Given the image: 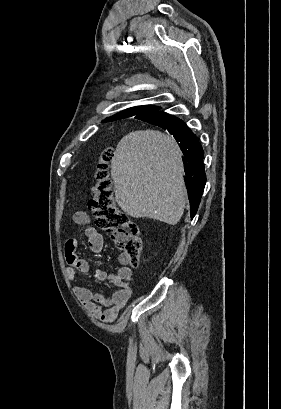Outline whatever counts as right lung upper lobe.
I'll use <instances>...</instances> for the list:
<instances>
[{"label": "right lung upper lobe", "mask_w": 281, "mask_h": 409, "mask_svg": "<svg viewBox=\"0 0 281 409\" xmlns=\"http://www.w3.org/2000/svg\"><path fill=\"white\" fill-rule=\"evenodd\" d=\"M158 107L155 106H151V105H147V106H138V107H133L130 109H127L125 111H122L112 117H109L107 119L104 120V122H108V121H113V120H117V119H122V118H126V117H130V116H134V115H138L141 113H145V112H149V111H153V110H157Z\"/></svg>", "instance_id": "obj_1"}]
</instances>
